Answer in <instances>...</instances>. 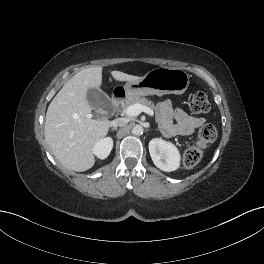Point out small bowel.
Listing matches in <instances>:
<instances>
[{"instance_id":"1","label":"small bowel","mask_w":264,"mask_h":264,"mask_svg":"<svg viewBox=\"0 0 264 264\" xmlns=\"http://www.w3.org/2000/svg\"><path fill=\"white\" fill-rule=\"evenodd\" d=\"M158 118L162 133L167 137L190 135L205 122L202 117L192 116L174 107L170 101L159 104Z\"/></svg>"}]
</instances>
